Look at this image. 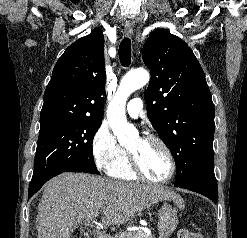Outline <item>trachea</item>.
I'll use <instances>...</instances> for the list:
<instances>
[{
    "label": "trachea",
    "instance_id": "3493384b",
    "mask_svg": "<svg viewBox=\"0 0 247 238\" xmlns=\"http://www.w3.org/2000/svg\"><path fill=\"white\" fill-rule=\"evenodd\" d=\"M119 59L124 67H128L131 63V40L125 37L119 46Z\"/></svg>",
    "mask_w": 247,
    "mask_h": 238
}]
</instances>
